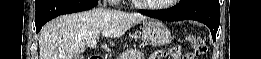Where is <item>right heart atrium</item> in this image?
I'll return each mask as SVG.
<instances>
[{"label":"right heart atrium","mask_w":261,"mask_h":59,"mask_svg":"<svg viewBox=\"0 0 261 59\" xmlns=\"http://www.w3.org/2000/svg\"><path fill=\"white\" fill-rule=\"evenodd\" d=\"M109 2H111V3H117L118 0H109Z\"/></svg>","instance_id":"obj_1"}]
</instances>
